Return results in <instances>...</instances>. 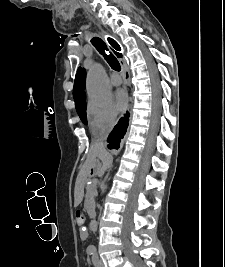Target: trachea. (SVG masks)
Returning <instances> with one entry per match:
<instances>
[{
  "label": "trachea",
  "mask_w": 225,
  "mask_h": 267,
  "mask_svg": "<svg viewBox=\"0 0 225 267\" xmlns=\"http://www.w3.org/2000/svg\"><path fill=\"white\" fill-rule=\"evenodd\" d=\"M112 43L110 42V44L112 45L113 48H116L117 42L114 41L113 39H111ZM92 44L95 46V48L99 51L100 54H103L105 60L108 62V64L111 66V68L115 71H120L121 70V66L117 60V58L112 54V53H108L105 54V51H108L107 45L105 44V42L98 38V37H94L91 40Z\"/></svg>",
  "instance_id": "3493384b"
}]
</instances>
